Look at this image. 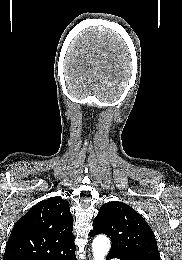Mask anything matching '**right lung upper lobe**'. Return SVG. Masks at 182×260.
Here are the masks:
<instances>
[{
    "label": "right lung upper lobe",
    "instance_id": "obj_1",
    "mask_svg": "<svg viewBox=\"0 0 182 260\" xmlns=\"http://www.w3.org/2000/svg\"><path fill=\"white\" fill-rule=\"evenodd\" d=\"M69 203L52 197L33 206L14 225L3 260H50L76 249Z\"/></svg>",
    "mask_w": 182,
    "mask_h": 260
}]
</instances>
